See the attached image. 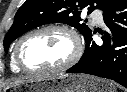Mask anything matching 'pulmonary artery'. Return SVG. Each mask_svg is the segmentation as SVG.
I'll use <instances>...</instances> for the list:
<instances>
[{"mask_svg": "<svg viewBox=\"0 0 127 92\" xmlns=\"http://www.w3.org/2000/svg\"><path fill=\"white\" fill-rule=\"evenodd\" d=\"M91 16H92L94 22H96L98 24H103V22H104L103 14L100 11H94Z\"/></svg>", "mask_w": 127, "mask_h": 92, "instance_id": "obj_1", "label": "pulmonary artery"}]
</instances>
